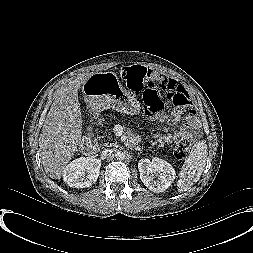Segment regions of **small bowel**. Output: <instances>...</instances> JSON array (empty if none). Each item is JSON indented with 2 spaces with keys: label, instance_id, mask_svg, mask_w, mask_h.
I'll list each match as a JSON object with an SVG mask.
<instances>
[{
  "label": "small bowel",
  "instance_id": "c3829d8e",
  "mask_svg": "<svg viewBox=\"0 0 253 253\" xmlns=\"http://www.w3.org/2000/svg\"><path fill=\"white\" fill-rule=\"evenodd\" d=\"M154 73L157 74L161 79L167 81L171 86L173 87L180 86L176 80L157 72ZM183 116L184 110L182 108H176L172 114V126H177L183 119ZM158 121L163 124L165 122V118L160 116L158 118ZM198 126L199 121L197 117L191 114L187 116V123L181 129H174L168 125H164L163 126L164 133L157 134L155 136V139L159 143L169 144L184 134H191V132L195 131L198 128Z\"/></svg>",
  "mask_w": 253,
  "mask_h": 253
}]
</instances>
